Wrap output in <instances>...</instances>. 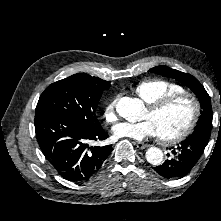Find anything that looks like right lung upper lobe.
Instances as JSON below:
<instances>
[{
  "instance_id": "right-lung-upper-lobe-1",
  "label": "right lung upper lobe",
  "mask_w": 221,
  "mask_h": 221,
  "mask_svg": "<svg viewBox=\"0 0 221 221\" xmlns=\"http://www.w3.org/2000/svg\"><path fill=\"white\" fill-rule=\"evenodd\" d=\"M81 75H87V76L91 77V76H90V75H88V74H81ZM91 78H94V79L98 80L99 82H101V83H103V84H105V85H107V84H108V82H109V81H104V80H101V79H99V78H97V77H91Z\"/></svg>"
}]
</instances>
